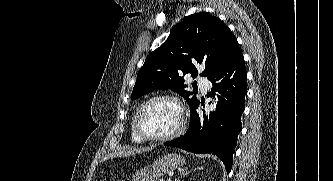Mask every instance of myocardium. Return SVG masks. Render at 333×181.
<instances>
[{
	"mask_svg": "<svg viewBox=\"0 0 333 181\" xmlns=\"http://www.w3.org/2000/svg\"><path fill=\"white\" fill-rule=\"evenodd\" d=\"M158 100H168V101L175 103L180 110V122H179L178 127L171 133L162 135V136H152V135L147 134L143 130V128L141 126V116L149 104H151L152 102L158 101ZM185 125H186L185 106L183 105V103L181 102V100L179 98H177L176 96H173V95H169V94L155 95V96L150 97L146 101H144L138 108L135 118H134V128H135V131L137 132V134L144 140L154 141V142L169 141V140H172V139L178 137L184 131Z\"/></svg>",
	"mask_w": 333,
	"mask_h": 181,
	"instance_id": "obj_1",
	"label": "myocardium"
}]
</instances>
